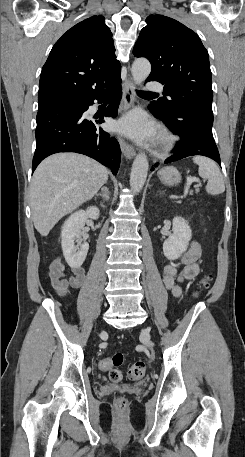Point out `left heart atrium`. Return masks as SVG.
<instances>
[{
	"mask_svg": "<svg viewBox=\"0 0 245 457\" xmlns=\"http://www.w3.org/2000/svg\"><path fill=\"white\" fill-rule=\"evenodd\" d=\"M117 127L124 133L138 139L152 137L155 134L154 127L147 122L145 115L140 112L128 114L117 124Z\"/></svg>",
	"mask_w": 245,
	"mask_h": 457,
	"instance_id": "left-heart-atrium-1",
	"label": "left heart atrium"
}]
</instances>
